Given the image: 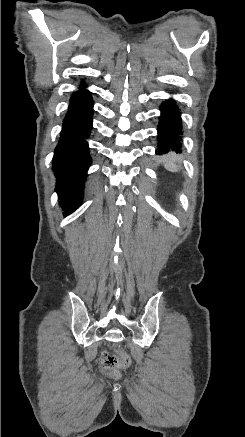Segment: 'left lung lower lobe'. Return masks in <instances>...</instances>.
<instances>
[{
    "mask_svg": "<svg viewBox=\"0 0 245 437\" xmlns=\"http://www.w3.org/2000/svg\"><path fill=\"white\" fill-rule=\"evenodd\" d=\"M162 111L158 127V149L156 153H167L169 151L181 152L182 148V127L178 106L173 100L167 101L160 107Z\"/></svg>",
    "mask_w": 245,
    "mask_h": 437,
    "instance_id": "left-lung-lower-lobe-1",
    "label": "left lung lower lobe"
}]
</instances>
